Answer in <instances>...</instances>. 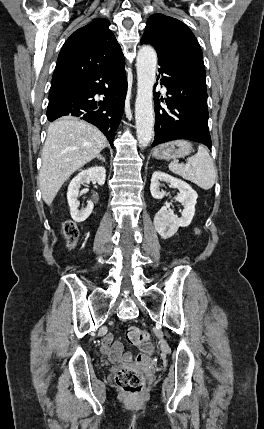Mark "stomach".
Listing matches in <instances>:
<instances>
[{
  "instance_id": "0dacf381",
  "label": "stomach",
  "mask_w": 264,
  "mask_h": 429,
  "mask_svg": "<svg viewBox=\"0 0 264 429\" xmlns=\"http://www.w3.org/2000/svg\"><path fill=\"white\" fill-rule=\"evenodd\" d=\"M192 145L186 140H174L157 146L153 156L157 159L176 160L190 154Z\"/></svg>"
}]
</instances>
